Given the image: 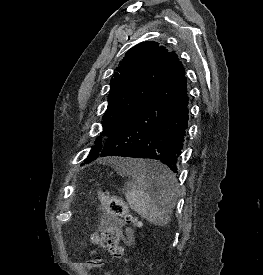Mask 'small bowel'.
<instances>
[{"label":"small bowel","instance_id":"c3829d8e","mask_svg":"<svg viewBox=\"0 0 263 275\" xmlns=\"http://www.w3.org/2000/svg\"><path fill=\"white\" fill-rule=\"evenodd\" d=\"M123 240L125 243L129 244L131 242V236H130V231L128 229H126L123 232Z\"/></svg>","mask_w":263,"mask_h":275}]
</instances>
